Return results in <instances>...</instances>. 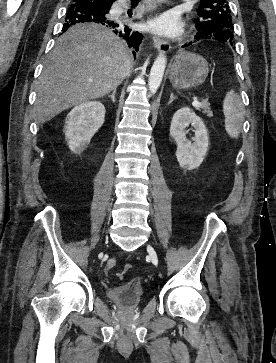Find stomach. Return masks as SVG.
Instances as JSON below:
<instances>
[{
  "label": "stomach",
  "instance_id": "stomach-1",
  "mask_svg": "<svg viewBox=\"0 0 276 363\" xmlns=\"http://www.w3.org/2000/svg\"><path fill=\"white\" fill-rule=\"evenodd\" d=\"M209 73V65L202 56L181 52L171 65L169 79L178 89H192L202 85Z\"/></svg>",
  "mask_w": 276,
  "mask_h": 363
}]
</instances>
